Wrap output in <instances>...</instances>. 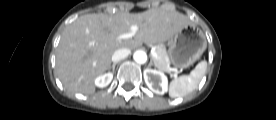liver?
Returning a JSON list of instances; mask_svg holds the SVG:
<instances>
[{"label":"liver","instance_id":"1","mask_svg":"<svg viewBox=\"0 0 276 120\" xmlns=\"http://www.w3.org/2000/svg\"><path fill=\"white\" fill-rule=\"evenodd\" d=\"M133 25L138 27L133 38L119 40L120 35L131 32ZM188 25L192 22L187 16L166 8L136 14L83 15L62 33L56 56L57 75L67 90L91 95L95 79L110 69L116 50L164 43Z\"/></svg>","mask_w":276,"mask_h":120}]
</instances>
